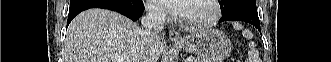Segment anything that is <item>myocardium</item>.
I'll list each match as a JSON object with an SVG mask.
<instances>
[{"label": "myocardium", "mask_w": 331, "mask_h": 62, "mask_svg": "<svg viewBox=\"0 0 331 62\" xmlns=\"http://www.w3.org/2000/svg\"><path fill=\"white\" fill-rule=\"evenodd\" d=\"M207 2L211 8V14L205 19L188 20L184 19V24L192 29L207 28L215 24L221 17V8L217 0H202Z\"/></svg>", "instance_id": "1"}]
</instances>
